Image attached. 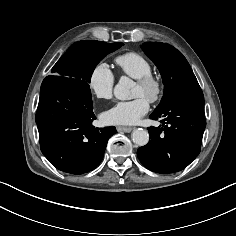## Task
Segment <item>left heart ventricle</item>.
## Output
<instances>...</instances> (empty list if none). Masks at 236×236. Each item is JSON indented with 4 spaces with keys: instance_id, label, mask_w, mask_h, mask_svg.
I'll use <instances>...</instances> for the list:
<instances>
[{
    "instance_id": "1",
    "label": "left heart ventricle",
    "mask_w": 236,
    "mask_h": 236,
    "mask_svg": "<svg viewBox=\"0 0 236 236\" xmlns=\"http://www.w3.org/2000/svg\"><path fill=\"white\" fill-rule=\"evenodd\" d=\"M133 96L138 97V96H143L146 99L149 97V93L146 89L142 88L139 86L137 83L135 84L134 90H133Z\"/></svg>"
}]
</instances>
